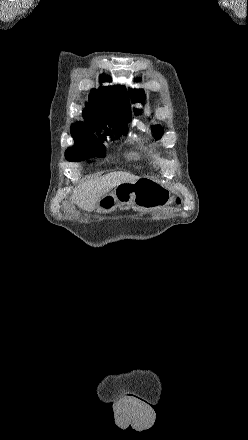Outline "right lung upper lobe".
<instances>
[{
	"instance_id": "right-lung-upper-lobe-1",
	"label": "right lung upper lobe",
	"mask_w": 248,
	"mask_h": 440,
	"mask_svg": "<svg viewBox=\"0 0 248 440\" xmlns=\"http://www.w3.org/2000/svg\"><path fill=\"white\" fill-rule=\"evenodd\" d=\"M105 74L100 76V82L108 80ZM90 105L83 111L85 123L77 122L71 125V135L75 140L73 149L80 145L87 136L94 135L104 128L106 134L127 130V122L131 119V110L127 92L122 86H101L98 90H91L89 95ZM93 131V132H92ZM95 136V135H94ZM68 149V150H69Z\"/></svg>"
}]
</instances>
